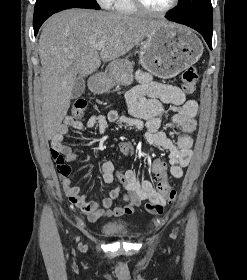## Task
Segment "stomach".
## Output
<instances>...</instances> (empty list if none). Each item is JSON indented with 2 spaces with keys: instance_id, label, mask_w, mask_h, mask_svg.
<instances>
[{
  "instance_id": "obj_1",
  "label": "stomach",
  "mask_w": 247,
  "mask_h": 280,
  "mask_svg": "<svg viewBox=\"0 0 247 280\" xmlns=\"http://www.w3.org/2000/svg\"><path fill=\"white\" fill-rule=\"evenodd\" d=\"M203 53V45L189 28L180 25L161 26L147 36L139 53L141 65L160 78H172L195 64ZM133 80V64L117 59L109 65V75L90 84L96 93L108 91L114 84L128 85Z\"/></svg>"
}]
</instances>
